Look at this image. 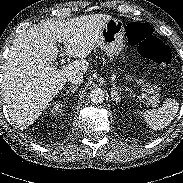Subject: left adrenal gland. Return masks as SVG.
Here are the masks:
<instances>
[{"mask_svg":"<svg viewBox=\"0 0 183 183\" xmlns=\"http://www.w3.org/2000/svg\"><path fill=\"white\" fill-rule=\"evenodd\" d=\"M111 97H112V100H114L116 103H118L120 101L118 92L116 90H114L113 88L111 90Z\"/></svg>","mask_w":183,"mask_h":183,"instance_id":"left-adrenal-gland-1","label":"left adrenal gland"}]
</instances>
